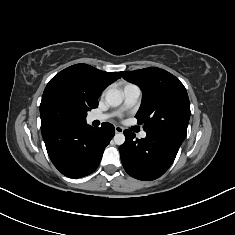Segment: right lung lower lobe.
Returning <instances> with one entry per match:
<instances>
[{"label": "right lung lower lobe", "mask_w": 235, "mask_h": 235, "mask_svg": "<svg viewBox=\"0 0 235 235\" xmlns=\"http://www.w3.org/2000/svg\"><path fill=\"white\" fill-rule=\"evenodd\" d=\"M48 155L65 176L80 178L94 172L115 134L110 123L92 128L86 121L41 128Z\"/></svg>", "instance_id": "right-lung-lower-lobe-1"}]
</instances>
